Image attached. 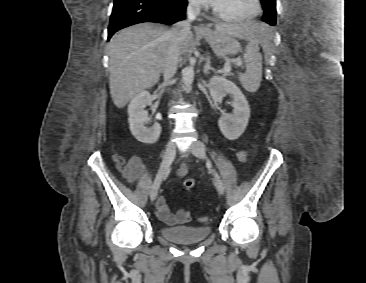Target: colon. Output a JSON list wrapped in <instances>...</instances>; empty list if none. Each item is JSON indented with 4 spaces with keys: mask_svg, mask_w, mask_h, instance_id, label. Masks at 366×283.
Wrapping results in <instances>:
<instances>
[{
    "mask_svg": "<svg viewBox=\"0 0 366 283\" xmlns=\"http://www.w3.org/2000/svg\"><path fill=\"white\" fill-rule=\"evenodd\" d=\"M196 186V180L194 178H187L183 181V187L186 190H192Z\"/></svg>",
    "mask_w": 366,
    "mask_h": 283,
    "instance_id": "obj_1",
    "label": "colon"
}]
</instances>
